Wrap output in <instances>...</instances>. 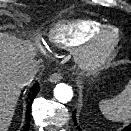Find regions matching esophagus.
<instances>
[{
  "instance_id": "34e87169",
  "label": "esophagus",
  "mask_w": 131,
  "mask_h": 131,
  "mask_svg": "<svg viewBox=\"0 0 131 131\" xmlns=\"http://www.w3.org/2000/svg\"><path fill=\"white\" fill-rule=\"evenodd\" d=\"M62 79L61 73H53L49 76L48 81L51 83H57Z\"/></svg>"
}]
</instances>
